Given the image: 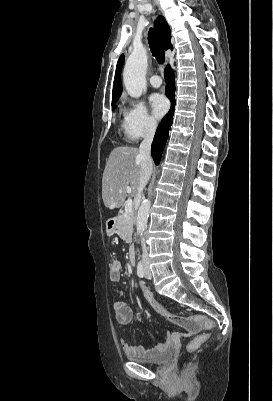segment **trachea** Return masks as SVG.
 Listing matches in <instances>:
<instances>
[{"instance_id":"trachea-1","label":"trachea","mask_w":273,"mask_h":401,"mask_svg":"<svg viewBox=\"0 0 273 401\" xmlns=\"http://www.w3.org/2000/svg\"><path fill=\"white\" fill-rule=\"evenodd\" d=\"M148 42L153 56L156 58L157 62L163 64L165 62V53L161 41L157 33L153 30H149Z\"/></svg>"}]
</instances>
